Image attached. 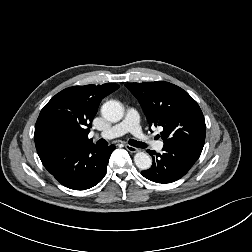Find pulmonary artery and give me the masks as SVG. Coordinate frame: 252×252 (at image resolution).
Returning <instances> with one entry per match:
<instances>
[{"label": "pulmonary artery", "mask_w": 252, "mask_h": 252, "mask_svg": "<svg viewBox=\"0 0 252 252\" xmlns=\"http://www.w3.org/2000/svg\"><path fill=\"white\" fill-rule=\"evenodd\" d=\"M127 132L132 133L138 141L144 143L145 145L153 146L157 151H160L163 148L162 141H155L142 131L139 125V114L133 108H129L127 110L126 116L121 122L103 131L99 134V136L104 139H112L122 136Z\"/></svg>", "instance_id": "1"}]
</instances>
